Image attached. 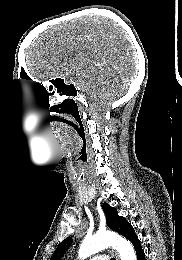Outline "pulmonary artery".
I'll return each mask as SVG.
<instances>
[{
    "label": "pulmonary artery",
    "mask_w": 182,
    "mask_h": 260,
    "mask_svg": "<svg viewBox=\"0 0 182 260\" xmlns=\"http://www.w3.org/2000/svg\"><path fill=\"white\" fill-rule=\"evenodd\" d=\"M90 260H107V256L103 254L96 255L92 257Z\"/></svg>",
    "instance_id": "pulmonary-artery-1"
}]
</instances>
